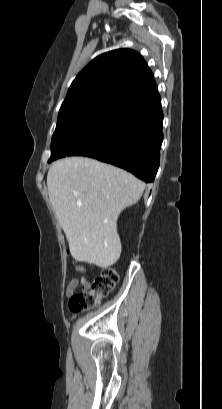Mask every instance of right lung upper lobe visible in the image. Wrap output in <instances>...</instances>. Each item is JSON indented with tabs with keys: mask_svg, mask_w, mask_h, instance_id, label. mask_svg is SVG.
Returning <instances> with one entry per match:
<instances>
[{
	"mask_svg": "<svg viewBox=\"0 0 222 409\" xmlns=\"http://www.w3.org/2000/svg\"><path fill=\"white\" fill-rule=\"evenodd\" d=\"M159 96L143 57L130 49L104 53L72 82L60 110L101 103L128 105Z\"/></svg>",
	"mask_w": 222,
	"mask_h": 409,
	"instance_id": "right-lung-upper-lobe-1",
	"label": "right lung upper lobe"
}]
</instances>
